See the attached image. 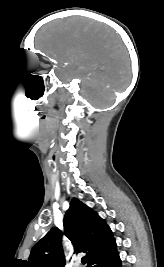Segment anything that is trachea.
Wrapping results in <instances>:
<instances>
[{"mask_svg": "<svg viewBox=\"0 0 164 267\" xmlns=\"http://www.w3.org/2000/svg\"><path fill=\"white\" fill-rule=\"evenodd\" d=\"M81 261H82L83 264H85L86 263V258L83 257Z\"/></svg>", "mask_w": 164, "mask_h": 267, "instance_id": "3493384b", "label": "trachea"}]
</instances>
